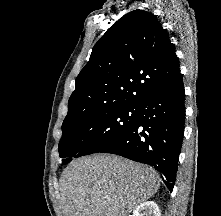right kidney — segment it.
Here are the masks:
<instances>
[{
  "instance_id": "ca27d5eb",
  "label": "right kidney",
  "mask_w": 221,
  "mask_h": 216,
  "mask_svg": "<svg viewBox=\"0 0 221 216\" xmlns=\"http://www.w3.org/2000/svg\"><path fill=\"white\" fill-rule=\"evenodd\" d=\"M132 216H161L160 209L154 201H147L139 205Z\"/></svg>"
}]
</instances>
